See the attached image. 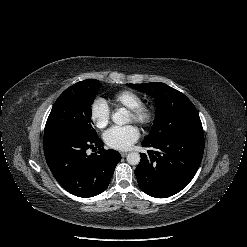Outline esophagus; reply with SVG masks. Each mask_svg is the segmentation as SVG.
<instances>
[{
	"label": "esophagus",
	"mask_w": 247,
	"mask_h": 247,
	"mask_svg": "<svg viewBox=\"0 0 247 247\" xmlns=\"http://www.w3.org/2000/svg\"><path fill=\"white\" fill-rule=\"evenodd\" d=\"M120 154L122 157H126L128 153L127 152H121Z\"/></svg>",
	"instance_id": "obj_1"
}]
</instances>
